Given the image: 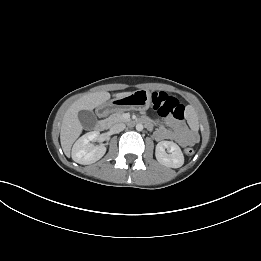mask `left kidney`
<instances>
[{"label":"left kidney","instance_id":"obj_1","mask_svg":"<svg viewBox=\"0 0 261 261\" xmlns=\"http://www.w3.org/2000/svg\"><path fill=\"white\" fill-rule=\"evenodd\" d=\"M155 156L157 161L166 167L179 168L184 164V156L180 147L172 141L159 142L156 145Z\"/></svg>","mask_w":261,"mask_h":261}]
</instances>
